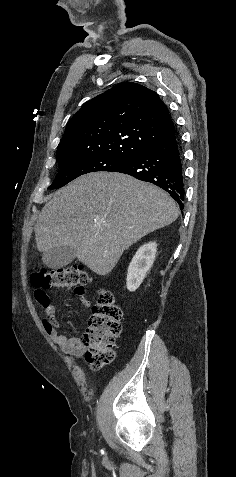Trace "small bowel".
<instances>
[{
    "instance_id": "1",
    "label": "small bowel",
    "mask_w": 236,
    "mask_h": 477,
    "mask_svg": "<svg viewBox=\"0 0 236 477\" xmlns=\"http://www.w3.org/2000/svg\"><path fill=\"white\" fill-rule=\"evenodd\" d=\"M35 296L47 315V318L43 320L45 331L66 354L73 358H79L85 351L84 343L80 339L59 334L60 324L57 308L45 292L40 291L36 293ZM77 296L79 297L82 308L89 307L90 301L84 294H77Z\"/></svg>"
}]
</instances>
